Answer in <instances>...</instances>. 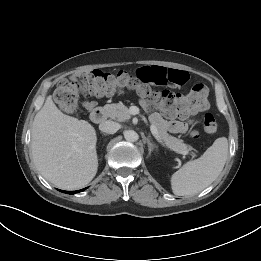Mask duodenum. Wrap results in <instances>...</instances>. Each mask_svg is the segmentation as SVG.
Returning <instances> with one entry per match:
<instances>
[{"instance_id": "1", "label": "duodenum", "mask_w": 261, "mask_h": 261, "mask_svg": "<svg viewBox=\"0 0 261 261\" xmlns=\"http://www.w3.org/2000/svg\"><path fill=\"white\" fill-rule=\"evenodd\" d=\"M90 118L94 123H101L105 120V111L101 107L93 108L90 113Z\"/></svg>"}]
</instances>
